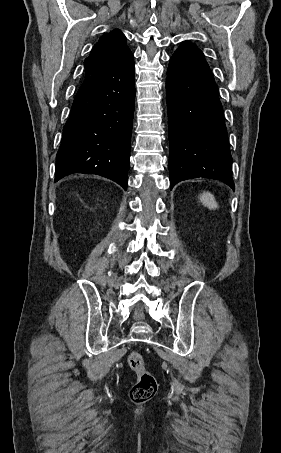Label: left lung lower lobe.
<instances>
[{
	"mask_svg": "<svg viewBox=\"0 0 281 453\" xmlns=\"http://www.w3.org/2000/svg\"><path fill=\"white\" fill-rule=\"evenodd\" d=\"M166 95L170 188L203 177L235 189L218 89L203 53L190 42L182 43L170 59Z\"/></svg>",
	"mask_w": 281,
	"mask_h": 453,
	"instance_id": "left-lung-lower-lobe-1",
	"label": "left lung lower lobe"
}]
</instances>
